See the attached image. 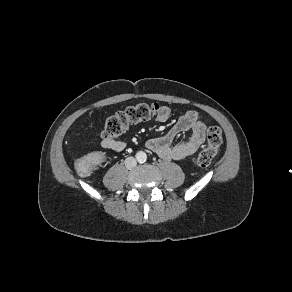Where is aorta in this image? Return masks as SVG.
<instances>
[{"label": "aorta", "instance_id": "aorta-1", "mask_svg": "<svg viewBox=\"0 0 292 292\" xmlns=\"http://www.w3.org/2000/svg\"><path fill=\"white\" fill-rule=\"evenodd\" d=\"M136 158L139 162H145L146 159H147V155L145 152L143 151H139L137 154H136Z\"/></svg>", "mask_w": 292, "mask_h": 292}]
</instances>
